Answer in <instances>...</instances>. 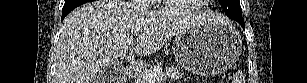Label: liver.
<instances>
[{
    "mask_svg": "<svg viewBox=\"0 0 307 83\" xmlns=\"http://www.w3.org/2000/svg\"><path fill=\"white\" fill-rule=\"evenodd\" d=\"M218 21L212 12L173 16L122 0L83 4L61 25L55 55L56 83H99L96 75L102 68L121 67L130 48L128 40L133 39L135 54L143 57L160 50L186 29Z\"/></svg>",
    "mask_w": 307,
    "mask_h": 83,
    "instance_id": "6515ba94",
    "label": "liver"
}]
</instances>
